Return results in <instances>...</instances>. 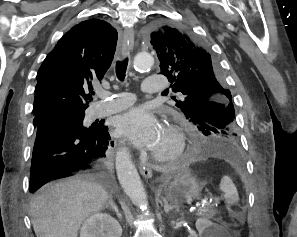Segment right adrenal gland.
I'll return each mask as SVG.
<instances>
[{"label":"right adrenal gland","mask_w":297,"mask_h":237,"mask_svg":"<svg viewBox=\"0 0 297 237\" xmlns=\"http://www.w3.org/2000/svg\"><path fill=\"white\" fill-rule=\"evenodd\" d=\"M105 208H111V209H113L115 211L117 217L119 218V220H122V215H121V213H119L118 207L115 204V202L113 201L112 196H109V200L106 203Z\"/></svg>","instance_id":"2a0ac1e0"}]
</instances>
